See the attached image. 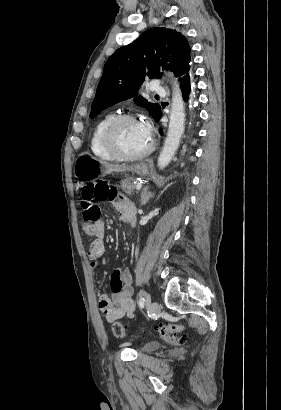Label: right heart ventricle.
I'll return each mask as SVG.
<instances>
[{"mask_svg":"<svg viewBox=\"0 0 281 410\" xmlns=\"http://www.w3.org/2000/svg\"><path fill=\"white\" fill-rule=\"evenodd\" d=\"M114 118V114L108 113L102 116L92 129L89 147L92 154L102 160L113 161L116 158L111 155L103 146L102 133L107 124Z\"/></svg>","mask_w":281,"mask_h":410,"instance_id":"e07e8e85","label":"right heart ventricle"}]
</instances>
